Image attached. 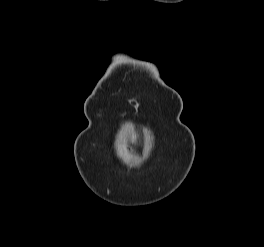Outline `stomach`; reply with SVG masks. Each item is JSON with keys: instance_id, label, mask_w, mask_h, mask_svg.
Returning a JSON list of instances; mask_svg holds the SVG:
<instances>
[{"instance_id": "stomach-1", "label": "stomach", "mask_w": 264, "mask_h": 247, "mask_svg": "<svg viewBox=\"0 0 264 247\" xmlns=\"http://www.w3.org/2000/svg\"><path fill=\"white\" fill-rule=\"evenodd\" d=\"M128 138L132 143H137L139 139V134L136 131H132L129 133Z\"/></svg>"}]
</instances>
